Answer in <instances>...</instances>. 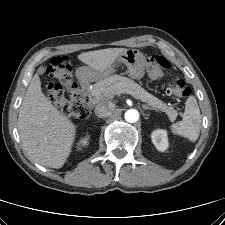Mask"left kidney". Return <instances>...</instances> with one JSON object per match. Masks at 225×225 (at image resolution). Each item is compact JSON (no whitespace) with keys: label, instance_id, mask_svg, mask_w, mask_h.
<instances>
[{"label":"left kidney","instance_id":"1","mask_svg":"<svg viewBox=\"0 0 225 225\" xmlns=\"http://www.w3.org/2000/svg\"><path fill=\"white\" fill-rule=\"evenodd\" d=\"M152 142L157 150L164 152L168 148V138L165 130H156L151 135Z\"/></svg>","mask_w":225,"mask_h":225}]
</instances>
